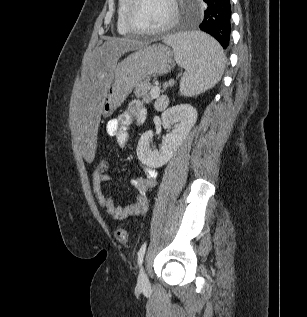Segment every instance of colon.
Returning a JSON list of instances; mask_svg holds the SVG:
<instances>
[{"label": "colon", "instance_id": "obj_1", "mask_svg": "<svg viewBox=\"0 0 307 317\" xmlns=\"http://www.w3.org/2000/svg\"><path fill=\"white\" fill-rule=\"evenodd\" d=\"M107 170V162L105 159H98L95 162L94 171L97 173H104ZM115 236L117 240L123 244L129 242V235L127 231L123 228H117L115 231Z\"/></svg>", "mask_w": 307, "mask_h": 317}]
</instances>
